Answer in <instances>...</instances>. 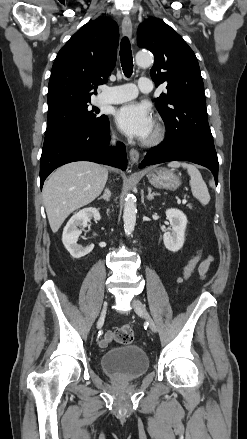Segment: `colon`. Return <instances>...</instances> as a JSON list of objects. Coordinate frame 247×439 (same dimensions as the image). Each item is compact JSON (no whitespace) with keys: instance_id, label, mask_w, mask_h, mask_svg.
I'll return each mask as SVG.
<instances>
[{"instance_id":"5ec220e1","label":"colon","mask_w":247,"mask_h":439,"mask_svg":"<svg viewBox=\"0 0 247 439\" xmlns=\"http://www.w3.org/2000/svg\"><path fill=\"white\" fill-rule=\"evenodd\" d=\"M201 257V250L197 249L192 257L188 260L187 264L185 265L182 275L179 278V282H183L187 280L195 271V268L200 260ZM135 337L134 331L131 328L130 325H123L119 327L114 334L115 340L120 344H130L133 342Z\"/></svg>"}]
</instances>
